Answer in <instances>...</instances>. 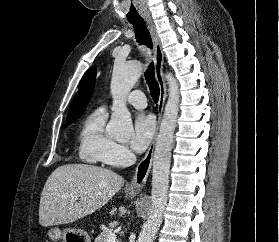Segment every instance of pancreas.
Listing matches in <instances>:
<instances>
[{
    "label": "pancreas",
    "instance_id": "obj_1",
    "mask_svg": "<svg viewBox=\"0 0 279 242\" xmlns=\"http://www.w3.org/2000/svg\"><path fill=\"white\" fill-rule=\"evenodd\" d=\"M110 232H112V230H110V229L103 231L102 233H100V235H98L95 238L94 242H106L107 236Z\"/></svg>",
    "mask_w": 279,
    "mask_h": 242
}]
</instances>
